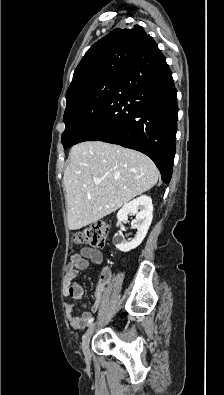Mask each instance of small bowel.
I'll list each match as a JSON object with an SVG mask.
<instances>
[{
	"mask_svg": "<svg viewBox=\"0 0 224 395\" xmlns=\"http://www.w3.org/2000/svg\"><path fill=\"white\" fill-rule=\"evenodd\" d=\"M102 261V252L98 249L91 247H85L82 249L81 254H75L71 256L70 261L65 268L66 295L74 300H82L83 288L81 284L76 280L79 273L83 270H86L89 267L90 262L99 265L102 263ZM110 279V271H104L96 285L94 298L88 304L92 312L97 311L101 295L104 292ZM84 306L86 307L87 305ZM65 311L70 325L75 329H82L88 323V320L92 318V314L89 311L83 312L80 316L75 315L74 304L71 302L66 303Z\"/></svg>",
	"mask_w": 224,
	"mask_h": 395,
	"instance_id": "c3829d8e",
	"label": "small bowel"
}]
</instances>
